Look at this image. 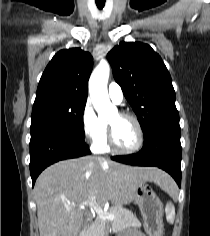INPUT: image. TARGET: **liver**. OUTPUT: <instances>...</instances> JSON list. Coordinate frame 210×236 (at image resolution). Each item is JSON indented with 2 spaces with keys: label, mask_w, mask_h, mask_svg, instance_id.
Instances as JSON below:
<instances>
[{
  "label": "liver",
  "mask_w": 210,
  "mask_h": 236,
  "mask_svg": "<svg viewBox=\"0 0 210 236\" xmlns=\"http://www.w3.org/2000/svg\"><path fill=\"white\" fill-rule=\"evenodd\" d=\"M150 181L164 189L168 174L153 167H130L85 156L55 163L37 178L34 192L40 236H79L85 202L127 205L138 183Z\"/></svg>",
  "instance_id": "obj_1"
}]
</instances>
